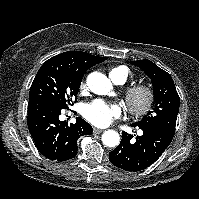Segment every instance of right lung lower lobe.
<instances>
[{
  "instance_id": "obj_1",
  "label": "right lung lower lobe",
  "mask_w": 199,
  "mask_h": 199,
  "mask_svg": "<svg viewBox=\"0 0 199 199\" xmlns=\"http://www.w3.org/2000/svg\"><path fill=\"white\" fill-rule=\"evenodd\" d=\"M66 110L47 96L29 99L27 124L39 152L56 161L72 159L77 154V140L90 135L92 127L78 117L75 124L60 121L59 115Z\"/></svg>"
}]
</instances>
